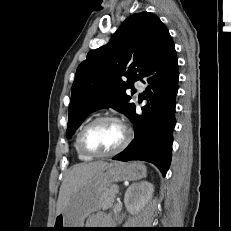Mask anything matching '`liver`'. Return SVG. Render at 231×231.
<instances>
[{
    "label": "liver",
    "instance_id": "6515ba94",
    "mask_svg": "<svg viewBox=\"0 0 231 231\" xmlns=\"http://www.w3.org/2000/svg\"><path fill=\"white\" fill-rule=\"evenodd\" d=\"M108 165L104 161L80 163L74 165L65 175L60 187L56 207V216L63 212L69 203L70 198L77 190L86 184L95 174Z\"/></svg>",
    "mask_w": 231,
    "mask_h": 231
}]
</instances>
